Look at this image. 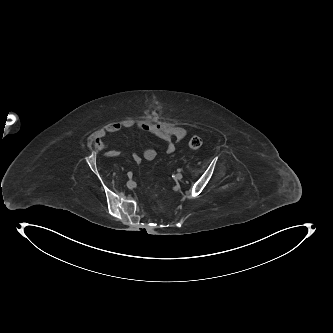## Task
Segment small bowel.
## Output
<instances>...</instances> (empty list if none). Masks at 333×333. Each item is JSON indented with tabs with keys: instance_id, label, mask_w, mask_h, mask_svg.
I'll return each instance as SVG.
<instances>
[{
	"instance_id": "obj_1",
	"label": "small bowel",
	"mask_w": 333,
	"mask_h": 333,
	"mask_svg": "<svg viewBox=\"0 0 333 333\" xmlns=\"http://www.w3.org/2000/svg\"><path fill=\"white\" fill-rule=\"evenodd\" d=\"M134 127L162 139L165 142V150L167 153H172L175 151V144L173 141L174 139L176 141H181L187 135V131L184 128L170 123H153L147 121L125 120L122 122L110 123L105 128L97 131L93 140L94 148L96 150L107 149L108 145L104 141L106 135L117 133L122 129H132ZM119 154V150L109 149L105 153V156L108 158H115L119 156ZM156 155V150L152 147H148L144 149L141 154L133 152L132 159L136 164L139 165L143 161H152L156 157Z\"/></svg>"
}]
</instances>
